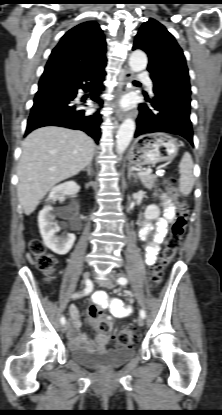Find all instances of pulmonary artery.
<instances>
[{"mask_svg": "<svg viewBox=\"0 0 222 415\" xmlns=\"http://www.w3.org/2000/svg\"><path fill=\"white\" fill-rule=\"evenodd\" d=\"M138 78L141 80V81H143L144 83H145V85L151 90L152 89V86H153V84H152V81H151V79L149 78V75H148V73L147 72H140L139 74H138Z\"/></svg>", "mask_w": 222, "mask_h": 415, "instance_id": "1", "label": "pulmonary artery"}]
</instances>
